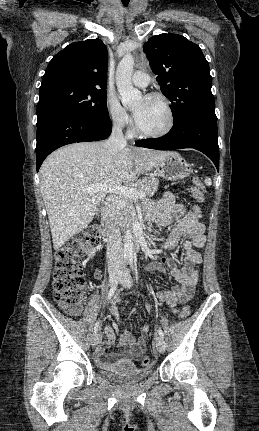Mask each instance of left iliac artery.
I'll list each match as a JSON object with an SVG mask.
<instances>
[{
	"mask_svg": "<svg viewBox=\"0 0 259 431\" xmlns=\"http://www.w3.org/2000/svg\"><path fill=\"white\" fill-rule=\"evenodd\" d=\"M129 264H130V267L133 270L134 269V265H133V256L132 255L129 256ZM158 334L160 335V337L164 338V333H163V331L160 328H158Z\"/></svg>",
	"mask_w": 259,
	"mask_h": 431,
	"instance_id": "obj_1",
	"label": "left iliac artery"
}]
</instances>
